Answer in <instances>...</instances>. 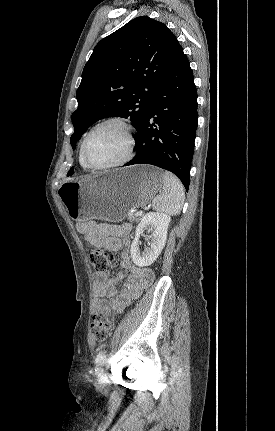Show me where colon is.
<instances>
[{
	"instance_id": "colon-1",
	"label": "colon",
	"mask_w": 275,
	"mask_h": 431,
	"mask_svg": "<svg viewBox=\"0 0 275 431\" xmlns=\"http://www.w3.org/2000/svg\"><path fill=\"white\" fill-rule=\"evenodd\" d=\"M90 262L98 272H104L113 261V254L107 249L94 248L89 252ZM111 321L103 313H95L90 323L92 337L105 341L111 331Z\"/></svg>"
}]
</instances>
